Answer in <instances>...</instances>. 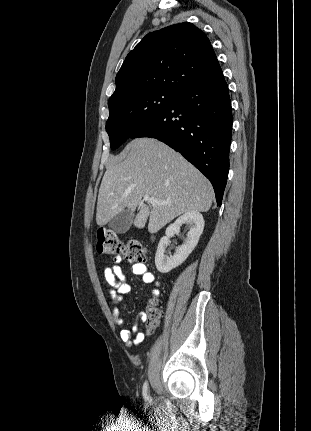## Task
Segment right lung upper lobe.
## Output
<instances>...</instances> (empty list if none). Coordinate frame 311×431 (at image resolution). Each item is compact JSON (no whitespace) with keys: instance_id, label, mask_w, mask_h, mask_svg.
<instances>
[{"instance_id":"obj_1","label":"right lung upper lobe","mask_w":311,"mask_h":431,"mask_svg":"<svg viewBox=\"0 0 311 431\" xmlns=\"http://www.w3.org/2000/svg\"><path fill=\"white\" fill-rule=\"evenodd\" d=\"M222 70L206 34L191 23L147 34L127 55L110 99L142 90L180 94Z\"/></svg>"}]
</instances>
